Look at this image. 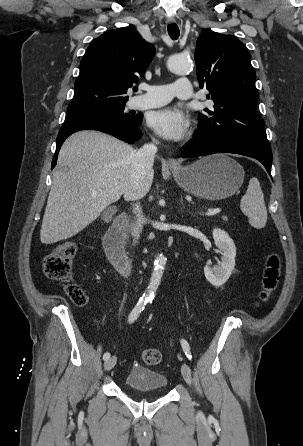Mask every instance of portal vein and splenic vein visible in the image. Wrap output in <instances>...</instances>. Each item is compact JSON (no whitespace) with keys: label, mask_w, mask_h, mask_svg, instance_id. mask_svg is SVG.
Wrapping results in <instances>:
<instances>
[{"label":"portal vein and splenic vein","mask_w":303,"mask_h":446,"mask_svg":"<svg viewBox=\"0 0 303 446\" xmlns=\"http://www.w3.org/2000/svg\"><path fill=\"white\" fill-rule=\"evenodd\" d=\"M97 195V191H93L91 192V196H96ZM221 212L220 208H215V209H211L209 210L207 213H205L206 216H213L215 214H218Z\"/></svg>","instance_id":"portal-vein-and-splenic-vein-1"}]
</instances>
